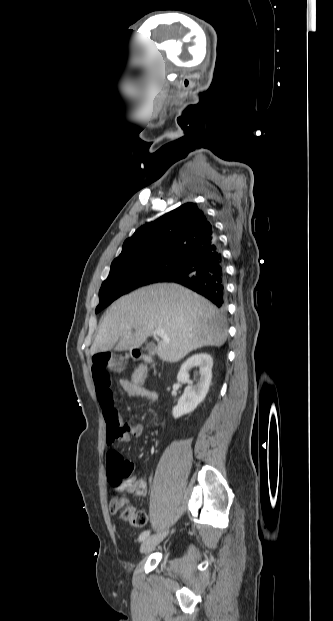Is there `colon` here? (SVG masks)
I'll list each match as a JSON object with an SVG mask.
<instances>
[{
  "mask_svg": "<svg viewBox=\"0 0 333 621\" xmlns=\"http://www.w3.org/2000/svg\"><path fill=\"white\" fill-rule=\"evenodd\" d=\"M147 374L146 368L138 369L130 380H127L129 391H135L142 386ZM131 469L124 467L121 469H113L109 471L110 485L117 493H123L131 489ZM110 511L112 513H120V517L129 522L134 527H143L148 521V517L144 511L131 508L127 500L123 497H115L110 503Z\"/></svg>",
  "mask_w": 333,
  "mask_h": 621,
  "instance_id": "obj_1",
  "label": "colon"
}]
</instances>
